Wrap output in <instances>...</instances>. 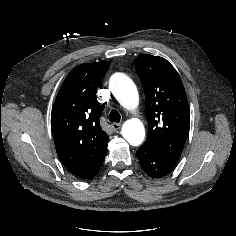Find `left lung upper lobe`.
I'll return each instance as SVG.
<instances>
[{"instance_id": "obj_1", "label": "left lung upper lobe", "mask_w": 236, "mask_h": 236, "mask_svg": "<svg viewBox=\"0 0 236 236\" xmlns=\"http://www.w3.org/2000/svg\"><path fill=\"white\" fill-rule=\"evenodd\" d=\"M146 98L148 135L144 146L177 163L190 129L182 81L164 58L140 55L135 61Z\"/></svg>"}]
</instances>
